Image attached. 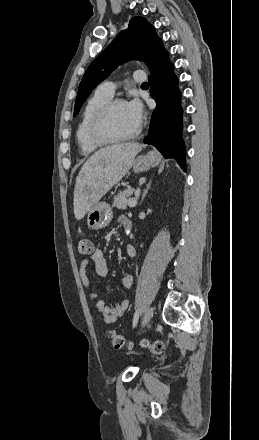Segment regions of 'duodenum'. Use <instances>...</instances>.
Here are the masks:
<instances>
[{
	"label": "duodenum",
	"instance_id": "1",
	"mask_svg": "<svg viewBox=\"0 0 259 440\" xmlns=\"http://www.w3.org/2000/svg\"><path fill=\"white\" fill-rule=\"evenodd\" d=\"M125 230L130 231L132 228V223L130 220H128L124 225Z\"/></svg>",
	"mask_w": 259,
	"mask_h": 440
}]
</instances>
